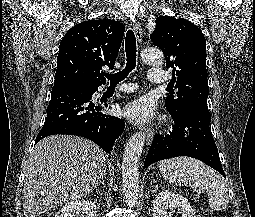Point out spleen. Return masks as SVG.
<instances>
[{
	"label": "spleen",
	"instance_id": "obj_1",
	"mask_svg": "<svg viewBox=\"0 0 255 217\" xmlns=\"http://www.w3.org/2000/svg\"><path fill=\"white\" fill-rule=\"evenodd\" d=\"M159 169L162 176L172 184L206 190L212 210L220 211L228 206V189L223 178L203 162L177 157L163 160Z\"/></svg>",
	"mask_w": 255,
	"mask_h": 217
}]
</instances>
